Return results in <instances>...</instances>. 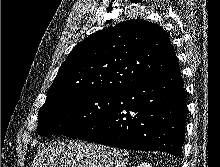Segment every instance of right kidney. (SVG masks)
I'll return each mask as SVG.
<instances>
[{
  "mask_svg": "<svg viewBox=\"0 0 220 167\" xmlns=\"http://www.w3.org/2000/svg\"><path fill=\"white\" fill-rule=\"evenodd\" d=\"M137 167H152V166H151V164L144 162V163H141L140 165H138Z\"/></svg>",
  "mask_w": 220,
  "mask_h": 167,
  "instance_id": "right-kidney-1",
  "label": "right kidney"
}]
</instances>
